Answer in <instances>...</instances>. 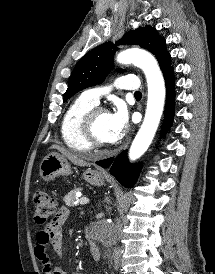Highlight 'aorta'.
Segmentation results:
<instances>
[{
    "instance_id": "1",
    "label": "aorta",
    "mask_w": 215,
    "mask_h": 274,
    "mask_svg": "<svg viewBox=\"0 0 215 274\" xmlns=\"http://www.w3.org/2000/svg\"><path fill=\"white\" fill-rule=\"evenodd\" d=\"M117 61L122 64H134L140 67L146 76L148 85L147 108L142 123L129 150L130 160L141 157L151 144L165 102V83L157 61L148 52L141 49H127L117 56Z\"/></svg>"
}]
</instances>
